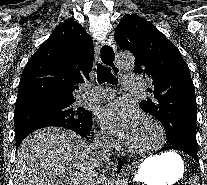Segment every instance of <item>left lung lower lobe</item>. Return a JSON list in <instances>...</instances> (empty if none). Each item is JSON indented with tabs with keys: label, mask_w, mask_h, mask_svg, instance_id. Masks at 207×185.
Returning <instances> with one entry per match:
<instances>
[{
	"label": "left lung lower lobe",
	"mask_w": 207,
	"mask_h": 185,
	"mask_svg": "<svg viewBox=\"0 0 207 185\" xmlns=\"http://www.w3.org/2000/svg\"><path fill=\"white\" fill-rule=\"evenodd\" d=\"M170 149H176V150L183 151V152L187 153L188 155H190L192 158H194L197 162H199L198 156H197V151L187 148L183 143H180V142L168 144L167 146H165V147L161 148L159 151H157V153L164 151V150H170Z\"/></svg>",
	"instance_id": "left-lung-lower-lobe-1"
}]
</instances>
